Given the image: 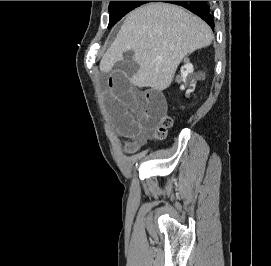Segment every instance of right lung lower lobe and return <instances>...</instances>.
<instances>
[{"label":"right lung lower lobe","instance_id":"98d812e1","mask_svg":"<svg viewBox=\"0 0 271 266\" xmlns=\"http://www.w3.org/2000/svg\"><path fill=\"white\" fill-rule=\"evenodd\" d=\"M183 6L201 17L211 28H214V19L207 1H161Z\"/></svg>","mask_w":271,"mask_h":266}]
</instances>
